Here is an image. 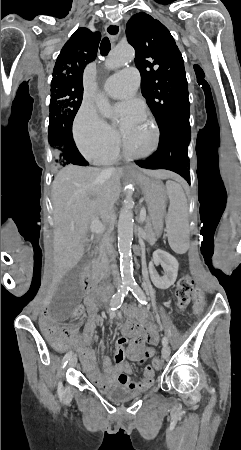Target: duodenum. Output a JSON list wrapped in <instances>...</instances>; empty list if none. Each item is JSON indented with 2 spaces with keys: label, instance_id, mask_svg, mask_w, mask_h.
I'll return each instance as SVG.
<instances>
[{
  "label": "duodenum",
  "instance_id": "duodenum-1",
  "mask_svg": "<svg viewBox=\"0 0 241 450\" xmlns=\"http://www.w3.org/2000/svg\"><path fill=\"white\" fill-rule=\"evenodd\" d=\"M82 280L88 287H93L95 285V280L93 278V275L91 271L85 270L82 274ZM112 287L111 285H106L104 287L99 288L98 295L101 299H106L111 294Z\"/></svg>",
  "mask_w": 241,
  "mask_h": 450
}]
</instances>
